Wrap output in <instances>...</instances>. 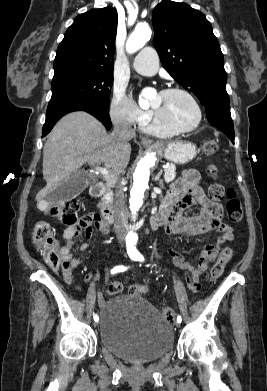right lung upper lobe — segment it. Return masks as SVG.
Wrapping results in <instances>:
<instances>
[{"instance_id": "obj_1", "label": "right lung upper lobe", "mask_w": 267, "mask_h": 391, "mask_svg": "<svg viewBox=\"0 0 267 391\" xmlns=\"http://www.w3.org/2000/svg\"><path fill=\"white\" fill-rule=\"evenodd\" d=\"M117 21L113 7L78 15L58 46L54 76L73 71L113 73Z\"/></svg>"}]
</instances>
